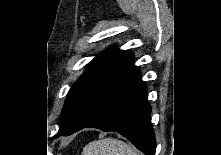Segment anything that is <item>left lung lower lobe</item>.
<instances>
[{
  "mask_svg": "<svg viewBox=\"0 0 221 155\" xmlns=\"http://www.w3.org/2000/svg\"><path fill=\"white\" fill-rule=\"evenodd\" d=\"M150 113L146 84L131 58L99 84L74 121L60 130L57 137L71 135L83 128L115 131L145 155H155Z\"/></svg>",
  "mask_w": 221,
  "mask_h": 155,
  "instance_id": "left-lung-lower-lobe-1",
  "label": "left lung lower lobe"
}]
</instances>
